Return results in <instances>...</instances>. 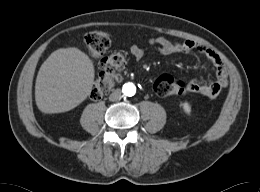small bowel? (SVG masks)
I'll return each instance as SVG.
<instances>
[{
  "label": "small bowel",
  "instance_id": "c3829d8e",
  "mask_svg": "<svg viewBox=\"0 0 260 192\" xmlns=\"http://www.w3.org/2000/svg\"><path fill=\"white\" fill-rule=\"evenodd\" d=\"M148 44L159 54L164 56L198 52L203 54L213 64L215 67V79L211 81L191 79L186 85L187 91L214 99L219 96L225 87H227V69L214 50L193 40L178 42L168 40L164 37L150 38ZM129 53L135 60H141L146 54V49L137 45H132L129 48Z\"/></svg>",
  "mask_w": 260,
  "mask_h": 192
}]
</instances>
